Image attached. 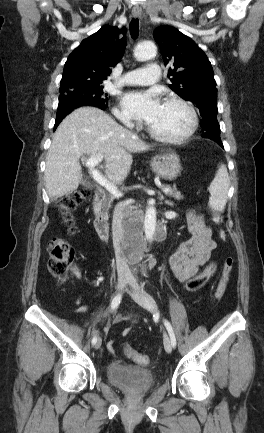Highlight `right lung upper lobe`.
Wrapping results in <instances>:
<instances>
[{"label": "right lung upper lobe", "instance_id": "cb5924a9", "mask_svg": "<svg viewBox=\"0 0 264 433\" xmlns=\"http://www.w3.org/2000/svg\"><path fill=\"white\" fill-rule=\"evenodd\" d=\"M124 30L104 25L69 55L62 75L60 93L102 85L125 51Z\"/></svg>", "mask_w": 264, "mask_h": 433}]
</instances>
